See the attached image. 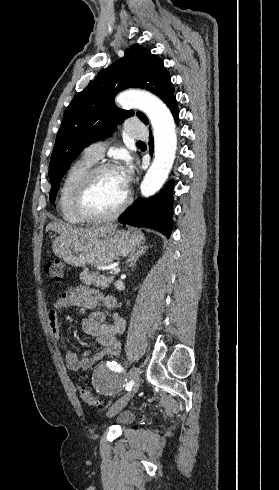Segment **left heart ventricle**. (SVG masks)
I'll return each mask as SVG.
<instances>
[{
  "mask_svg": "<svg viewBox=\"0 0 279 490\" xmlns=\"http://www.w3.org/2000/svg\"><path fill=\"white\" fill-rule=\"evenodd\" d=\"M126 193L121 186L118 171L103 172L94 184L89 200L90 207L100 214L110 213L123 202Z\"/></svg>",
  "mask_w": 279,
  "mask_h": 490,
  "instance_id": "left-heart-ventricle-1",
  "label": "left heart ventricle"
}]
</instances>
